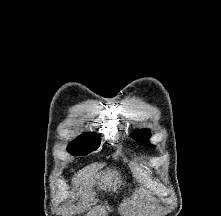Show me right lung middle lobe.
I'll list each match as a JSON object with an SVG mask.
<instances>
[{
  "label": "right lung middle lobe",
  "mask_w": 221,
  "mask_h": 216,
  "mask_svg": "<svg viewBox=\"0 0 221 216\" xmlns=\"http://www.w3.org/2000/svg\"><path fill=\"white\" fill-rule=\"evenodd\" d=\"M100 138L98 135L91 133L78 137L68 146V151L74 155H87L96 150L100 145Z\"/></svg>",
  "instance_id": "1"
}]
</instances>
